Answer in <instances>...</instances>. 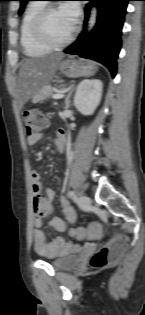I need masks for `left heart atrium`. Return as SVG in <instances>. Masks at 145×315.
Masks as SVG:
<instances>
[{
	"label": "left heart atrium",
	"instance_id": "1",
	"mask_svg": "<svg viewBox=\"0 0 145 315\" xmlns=\"http://www.w3.org/2000/svg\"><path fill=\"white\" fill-rule=\"evenodd\" d=\"M61 11L69 18L70 22L74 26L78 20L80 9L75 2L65 3L61 7Z\"/></svg>",
	"mask_w": 145,
	"mask_h": 315
}]
</instances>
